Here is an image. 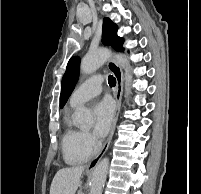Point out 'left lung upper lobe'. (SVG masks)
I'll use <instances>...</instances> for the list:
<instances>
[{
  "instance_id": "5c2ea615",
  "label": "left lung upper lobe",
  "mask_w": 201,
  "mask_h": 194,
  "mask_svg": "<svg viewBox=\"0 0 201 194\" xmlns=\"http://www.w3.org/2000/svg\"><path fill=\"white\" fill-rule=\"evenodd\" d=\"M118 27L109 18L103 20L102 43L113 47L117 51H123V38L117 36ZM80 58L72 57L66 68V72L61 84V102L60 108H63L71 95L79 76Z\"/></svg>"
}]
</instances>
